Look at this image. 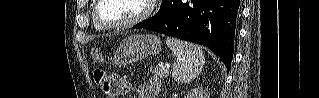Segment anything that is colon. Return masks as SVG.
I'll return each mask as SVG.
<instances>
[{
    "label": "colon",
    "instance_id": "colon-1",
    "mask_svg": "<svg viewBox=\"0 0 319 98\" xmlns=\"http://www.w3.org/2000/svg\"><path fill=\"white\" fill-rule=\"evenodd\" d=\"M91 57L95 62H100L102 59L101 51L98 48H92L90 51ZM106 75L99 68L94 71V80L99 86H103L105 82Z\"/></svg>",
    "mask_w": 319,
    "mask_h": 98
}]
</instances>
